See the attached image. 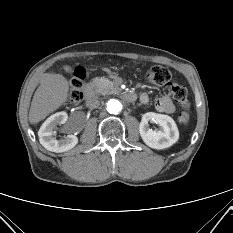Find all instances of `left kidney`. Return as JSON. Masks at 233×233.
Returning <instances> with one entry per match:
<instances>
[{
  "label": "left kidney",
  "mask_w": 233,
  "mask_h": 233,
  "mask_svg": "<svg viewBox=\"0 0 233 233\" xmlns=\"http://www.w3.org/2000/svg\"><path fill=\"white\" fill-rule=\"evenodd\" d=\"M153 121L160 130H153L148 122ZM139 132L144 143L153 149H165L172 146L179 138L175 121L168 115L154 112L145 113L139 125Z\"/></svg>",
  "instance_id": "obj_1"
}]
</instances>
